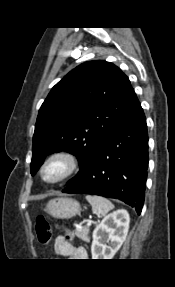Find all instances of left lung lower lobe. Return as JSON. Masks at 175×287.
I'll return each instance as SVG.
<instances>
[{"instance_id":"left-lung-lower-lobe-1","label":"left lung lower lobe","mask_w":175,"mask_h":287,"mask_svg":"<svg viewBox=\"0 0 175 287\" xmlns=\"http://www.w3.org/2000/svg\"><path fill=\"white\" fill-rule=\"evenodd\" d=\"M148 168V134L140 102L98 146L91 167L62 192L116 198L141 213Z\"/></svg>"}]
</instances>
